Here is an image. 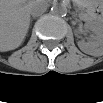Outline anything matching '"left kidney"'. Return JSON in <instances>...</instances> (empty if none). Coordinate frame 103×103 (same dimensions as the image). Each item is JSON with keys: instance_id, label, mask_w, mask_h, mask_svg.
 <instances>
[{"instance_id": "left-kidney-1", "label": "left kidney", "mask_w": 103, "mask_h": 103, "mask_svg": "<svg viewBox=\"0 0 103 103\" xmlns=\"http://www.w3.org/2000/svg\"><path fill=\"white\" fill-rule=\"evenodd\" d=\"M85 28L92 30L94 32V35L91 36L90 41L88 42L78 41V47L81 51L90 55L101 53L103 46L102 26H97L93 23H86Z\"/></svg>"}]
</instances>
